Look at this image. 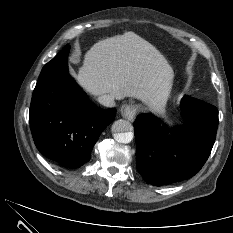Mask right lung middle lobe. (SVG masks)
<instances>
[{"label":"right lung middle lobe","mask_w":233,"mask_h":233,"mask_svg":"<svg viewBox=\"0 0 233 233\" xmlns=\"http://www.w3.org/2000/svg\"><path fill=\"white\" fill-rule=\"evenodd\" d=\"M70 48V46L69 45H67L64 49H69Z\"/></svg>","instance_id":"1"}]
</instances>
